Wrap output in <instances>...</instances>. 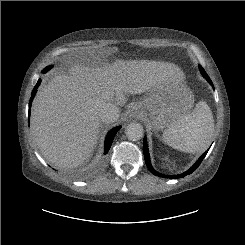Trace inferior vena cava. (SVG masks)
Listing matches in <instances>:
<instances>
[{"label":"inferior vena cava","mask_w":245,"mask_h":245,"mask_svg":"<svg viewBox=\"0 0 245 245\" xmlns=\"http://www.w3.org/2000/svg\"><path fill=\"white\" fill-rule=\"evenodd\" d=\"M99 118L105 123H112L119 117L118 107L110 102H100L98 105Z\"/></svg>","instance_id":"602c4592"}]
</instances>
